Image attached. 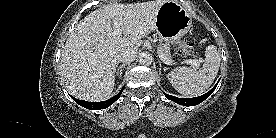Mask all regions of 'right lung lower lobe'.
Here are the masks:
<instances>
[{"label":"right lung lower lobe","mask_w":276,"mask_h":138,"mask_svg":"<svg viewBox=\"0 0 276 138\" xmlns=\"http://www.w3.org/2000/svg\"><path fill=\"white\" fill-rule=\"evenodd\" d=\"M124 88L121 89V91L114 97L106 100V101H102V102H87V101H83V100H79L76 99L74 97H72L79 105H81L84 108L87 109H91V110H100V109H105L107 107H109L111 104H113L116 100H118V98L120 97L122 91Z\"/></svg>","instance_id":"98d812e1"}]
</instances>
